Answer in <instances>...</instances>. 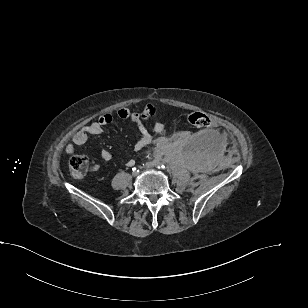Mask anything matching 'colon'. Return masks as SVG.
Wrapping results in <instances>:
<instances>
[{"label":"colon","mask_w":308,"mask_h":308,"mask_svg":"<svg viewBox=\"0 0 308 308\" xmlns=\"http://www.w3.org/2000/svg\"><path fill=\"white\" fill-rule=\"evenodd\" d=\"M190 125L196 128H207L211 124L209 116L202 112H191L186 115ZM89 161L85 155H74L70 158L69 167L75 177H82L88 170Z\"/></svg>","instance_id":"colon-1"}]
</instances>
